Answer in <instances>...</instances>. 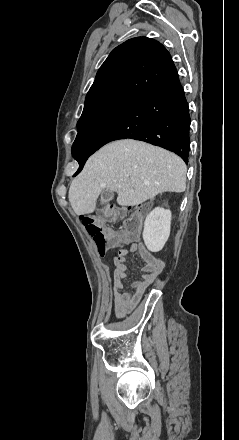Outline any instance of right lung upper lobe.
Masks as SVG:
<instances>
[{"instance_id": "right-lung-upper-lobe-1", "label": "right lung upper lobe", "mask_w": 239, "mask_h": 440, "mask_svg": "<svg viewBox=\"0 0 239 440\" xmlns=\"http://www.w3.org/2000/svg\"><path fill=\"white\" fill-rule=\"evenodd\" d=\"M165 47L147 37H136L116 47L97 72L84 109L117 96L137 97L173 68Z\"/></svg>"}]
</instances>
